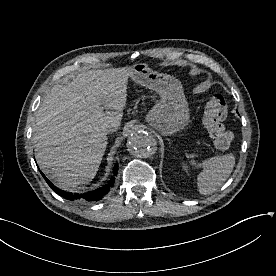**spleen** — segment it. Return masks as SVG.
Segmentation results:
<instances>
[{"instance_id": "1", "label": "spleen", "mask_w": 276, "mask_h": 276, "mask_svg": "<svg viewBox=\"0 0 276 276\" xmlns=\"http://www.w3.org/2000/svg\"><path fill=\"white\" fill-rule=\"evenodd\" d=\"M235 165L232 153L223 156H214L204 162V170L197 177L199 193L208 195L221 187L230 176ZM186 170L187 166H183Z\"/></svg>"}]
</instances>
